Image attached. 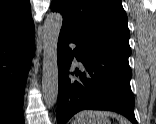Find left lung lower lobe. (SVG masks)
Listing matches in <instances>:
<instances>
[{"label": "left lung lower lobe", "mask_w": 156, "mask_h": 124, "mask_svg": "<svg viewBox=\"0 0 156 124\" xmlns=\"http://www.w3.org/2000/svg\"><path fill=\"white\" fill-rule=\"evenodd\" d=\"M72 44L76 47L72 48ZM57 55V124H65L84 109L115 111L137 124L128 57L109 47L85 42L64 28L60 31ZM74 57L85 67L83 73L75 70L79 80L67 75Z\"/></svg>", "instance_id": "1"}]
</instances>
